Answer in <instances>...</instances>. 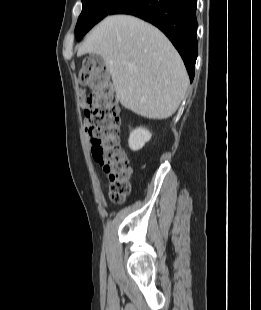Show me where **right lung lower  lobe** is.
I'll return each instance as SVG.
<instances>
[{"label": "right lung lower lobe", "mask_w": 261, "mask_h": 310, "mask_svg": "<svg viewBox=\"0 0 261 310\" xmlns=\"http://www.w3.org/2000/svg\"><path fill=\"white\" fill-rule=\"evenodd\" d=\"M196 0H124L111 14H130L157 26L181 55L190 81L198 54Z\"/></svg>", "instance_id": "right-lung-lower-lobe-1"}]
</instances>
